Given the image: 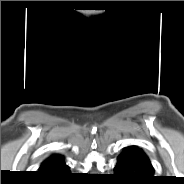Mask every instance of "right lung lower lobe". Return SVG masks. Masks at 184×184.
<instances>
[{
    "label": "right lung lower lobe",
    "mask_w": 184,
    "mask_h": 184,
    "mask_svg": "<svg viewBox=\"0 0 184 184\" xmlns=\"http://www.w3.org/2000/svg\"><path fill=\"white\" fill-rule=\"evenodd\" d=\"M39 173L49 178V183H64L65 180L70 176L69 167L65 164L63 158L56 160L50 165L41 168Z\"/></svg>",
    "instance_id": "right-lung-lower-lobe-1"
}]
</instances>
